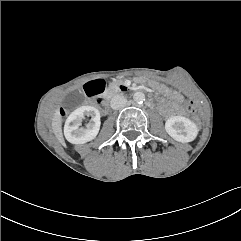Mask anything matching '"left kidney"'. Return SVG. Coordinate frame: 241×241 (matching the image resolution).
Listing matches in <instances>:
<instances>
[{"mask_svg": "<svg viewBox=\"0 0 241 241\" xmlns=\"http://www.w3.org/2000/svg\"><path fill=\"white\" fill-rule=\"evenodd\" d=\"M166 132L176 141L188 143L198 135V127L190 119L182 116L170 117L165 123Z\"/></svg>", "mask_w": 241, "mask_h": 241, "instance_id": "left-kidney-1", "label": "left kidney"}]
</instances>
